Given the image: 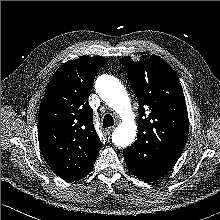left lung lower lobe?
I'll return each instance as SVG.
<instances>
[{
  "label": "left lung lower lobe",
  "mask_w": 220,
  "mask_h": 220,
  "mask_svg": "<svg viewBox=\"0 0 220 220\" xmlns=\"http://www.w3.org/2000/svg\"><path fill=\"white\" fill-rule=\"evenodd\" d=\"M124 158L126 161V165L128 169L137 177L146 180V181H154L159 178H161L163 175H165L168 171H170L169 168H165L159 165L155 164H140L139 162L133 160L132 151L130 148L124 149Z\"/></svg>",
  "instance_id": "left-lung-lower-lobe-1"
}]
</instances>
